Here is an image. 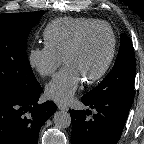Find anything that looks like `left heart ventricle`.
<instances>
[{"label": "left heart ventricle", "instance_id": "left-heart-ventricle-1", "mask_svg": "<svg viewBox=\"0 0 144 144\" xmlns=\"http://www.w3.org/2000/svg\"><path fill=\"white\" fill-rule=\"evenodd\" d=\"M111 49V35L101 27L89 32L66 64L73 66L83 80L97 74L106 62Z\"/></svg>", "mask_w": 144, "mask_h": 144}]
</instances>
